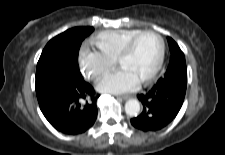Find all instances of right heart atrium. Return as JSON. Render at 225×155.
<instances>
[{
	"label": "right heart atrium",
	"instance_id": "1",
	"mask_svg": "<svg viewBox=\"0 0 225 155\" xmlns=\"http://www.w3.org/2000/svg\"><path fill=\"white\" fill-rule=\"evenodd\" d=\"M78 61L83 75L90 80H98L114 65V60L90 48L87 44L81 46Z\"/></svg>",
	"mask_w": 225,
	"mask_h": 155
}]
</instances>
